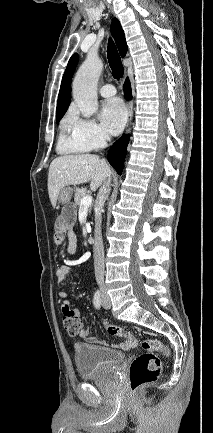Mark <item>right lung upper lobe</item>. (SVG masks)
Returning <instances> with one entry per match:
<instances>
[{
  "label": "right lung upper lobe",
  "mask_w": 213,
  "mask_h": 433,
  "mask_svg": "<svg viewBox=\"0 0 213 433\" xmlns=\"http://www.w3.org/2000/svg\"><path fill=\"white\" fill-rule=\"evenodd\" d=\"M111 32L116 41V45L120 52V55L124 57L127 53L128 47L125 40L124 31L117 18L112 20ZM79 61L78 54H73L68 62L66 70L64 72L61 87L58 95L57 108H56V120H60L67 111V108L71 101V81L76 65Z\"/></svg>",
  "instance_id": "right-lung-upper-lobe-1"
}]
</instances>
